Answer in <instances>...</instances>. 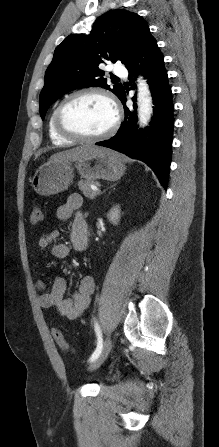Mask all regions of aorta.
<instances>
[{
    "label": "aorta",
    "mask_w": 219,
    "mask_h": 447,
    "mask_svg": "<svg viewBox=\"0 0 219 447\" xmlns=\"http://www.w3.org/2000/svg\"><path fill=\"white\" fill-rule=\"evenodd\" d=\"M138 118L140 125H147L152 114V98L148 85L142 78L138 79Z\"/></svg>",
    "instance_id": "1"
}]
</instances>
